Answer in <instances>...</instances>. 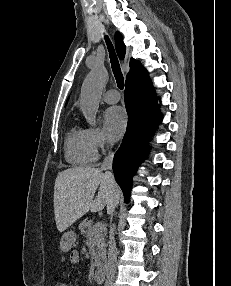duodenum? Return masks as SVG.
<instances>
[{
    "instance_id": "1",
    "label": "duodenum",
    "mask_w": 231,
    "mask_h": 286,
    "mask_svg": "<svg viewBox=\"0 0 231 286\" xmlns=\"http://www.w3.org/2000/svg\"><path fill=\"white\" fill-rule=\"evenodd\" d=\"M94 278L98 283H102L105 280V268L104 266H98L94 273Z\"/></svg>"
}]
</instances>
